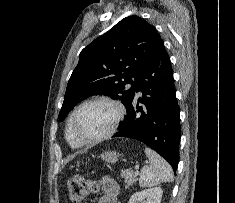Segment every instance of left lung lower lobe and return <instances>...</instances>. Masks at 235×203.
Returning a JSON list of instances; mask_svg holds the SVG:
<instances>
[{
  "mask_svg": "<svg viewBox=\"0 0 235 203\" xmlns=\"http://www.w3.org/2000/svg\"><path fill=\"white\" fill-rule=\"evenodd\" d=\"M138 91H142V98L135 97ZM126 110L127 116L113 137H127L145 143L165 158L176 172L180 116L171 62L162 39L144 67Z\"/></svg>",
  "mask_w": 235,
  "mask_h": 203,
  "instance_id": "0a47b994",
  "label": "left lung lower lobe"
}]
</instances>
